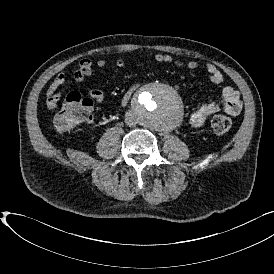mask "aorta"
Returning <instances> with one entry per match:
<instances>
[{"instance_id":"762f6f07","label":"aorta","mask_w":274,"mask_h":274,"mask_svg":"<svg viewBox=\"0 0 274 274\" xmlns=\"http://www.w3.org/2000/svg\"><path fill=\"white\" fill-rule=\"evenodd\" d=\"M134 115L140 125L165 131L173 128L183 115V105L177 91L163 83L146 85L133 101Z\"/></svg>"}]
</instances>
